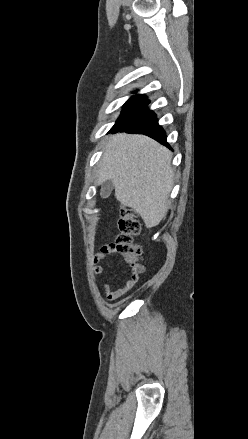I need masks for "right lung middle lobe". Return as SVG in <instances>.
<instances>
[{
    "label": "right lung middle lobe",
    "instance_id": "1",
    "mask_svg": "<svg viewBox=\"0 0 248 439\" xmlns=\"http://www.w3.org/2000/svg\"><path fill=\"white\" fill-rule=\"evenodd\" d=\"M149 100L146 98H143L141 96H134L131 97L125 104L124 108L121 112V115L119 116L117 123L123 121L124 119L128 118L138 110L144 108L149 104Z\"/></svg>",
    "mask_w": 248,
    "mask_h": 439
}]
</instances>
